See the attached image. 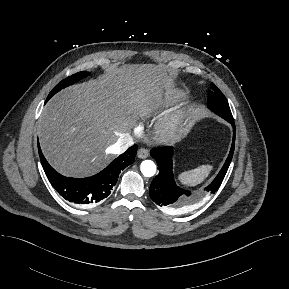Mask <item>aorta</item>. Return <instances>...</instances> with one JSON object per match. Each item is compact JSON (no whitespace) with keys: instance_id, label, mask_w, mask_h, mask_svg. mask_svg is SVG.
Instances as JSON below:
<instances>
[{"instance_id":"762f6f07","label":"aorta","mask_w":289,"mask_h":289,"mask_svg":"<svg viewBox=\"0 0 289 289\" xmlns=\"http://www.w3.org/2000/svg\"><path fill=\"white\" fill-rule=\"evenodd\" d=\"M141 172L146 177H152L156 173V165L151 160H145L141 163L140 166Z\"/></svg>"}]
</instances>
